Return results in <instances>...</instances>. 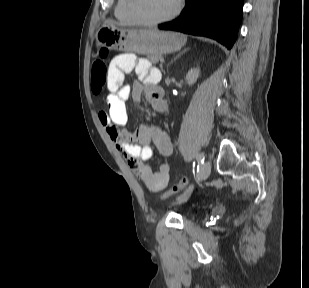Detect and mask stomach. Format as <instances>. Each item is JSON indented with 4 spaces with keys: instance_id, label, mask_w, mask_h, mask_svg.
<instances>
[{
    "instance_id": "stomach-1",
    "label": "stomach",
    "mask_w": 309,
    "mask_h": 288,
    "mask_svg": "<svg viewBox=\"0 0 309 288\" xmlns=\"http://www.w3.org/2000/svg\"><path fill=\"white\" fill-rule=\"evenodd\" d=\"M97 45L109 50L132 52L141 55L161 56L181 49L186 36L177 32L157 29H127L104 24L96 33Z\"/></svg>"
}]
</instances>
